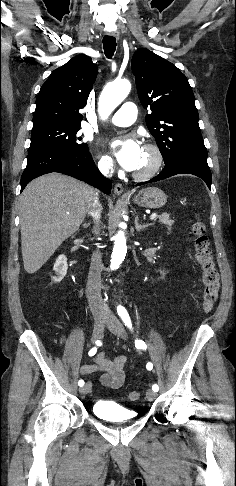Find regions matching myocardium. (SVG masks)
Instances as JSON below:
<instances>
[{"instance_id":"myocardium-1","label":"myocardium","mask_w":236,"mask_h":486,"mask_svg":"<svg viewBox=\"0 0 236 486\" xmlns=\"http://www.w3.org/2000/svg\"><path fill=\"white\" fill-rule=\"evenodd\" d=\"M143 149L149 151L152 154L153 162L147 170L141 172H133L132 175L137 180H149L156 176L157 173L160 171L164 161L162 151L156 144L147 143L144 145Z\"/></svg>"}]
</instances>
